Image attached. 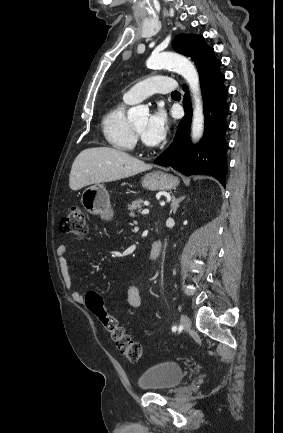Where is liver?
<instances>
[{
  "label": "liver",
  "instance_id": "6515ba94",
  "mask_svg": "<svg viewBox=\"0 0 283 433\" xmlns=\"http://www.w3.org/2000/svg\"><path fill=\"white\" fill-rule=\"evenodd\" d=\"M149 168H152V164H145L143 160L134 158L117 148H109V146L85 148L79 152L72 164L69 186L72 190H78L93 182L119 180Z\"/></svg>",
  "mask_w": 283,
  "mask_h": 433
}]
</instances>
